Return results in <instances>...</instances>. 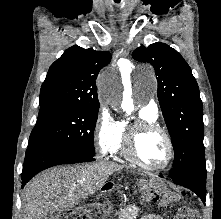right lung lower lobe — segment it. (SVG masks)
<instances>
[{"instance_id": "1", "label": "right lung lower lobe", "mask_w": 221, "mask_h": 219, "mask_svg": "<svg viewBox=\"0 0 221 219\" xmlns=\"http://www.w3.org/2000/svg\"><path fill=\"white\" fill-rule=\"evenodd\" d=\"M94 160L93 156L74 153L45 142H34L28 145L26 151L22 171V188L35 174L49 167Z\"/></svg>"}]
</instances>
